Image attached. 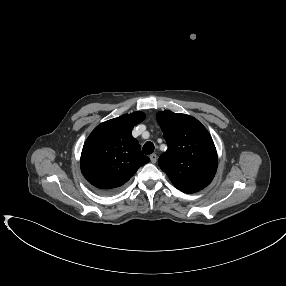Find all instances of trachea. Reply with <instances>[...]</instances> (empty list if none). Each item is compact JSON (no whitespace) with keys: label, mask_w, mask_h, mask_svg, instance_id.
<instances>
[{"label":"trachea","mask_w":286,"mask_h":286,"mask_svg":"<svg viewBox=\"0 0 286 286\" xmlns=\"http://www.w3.org/2000/svg\"><path fill=\"white\" fill-rule=\"evenodd\" d=\"M144 154L149 155L154 151V144L150 141L146 142L142 148Z\"/></svg>","instance_id":"3493384b"}]
</instances>
